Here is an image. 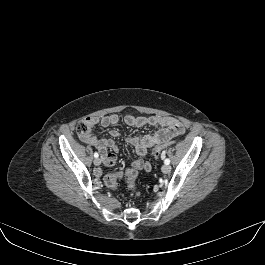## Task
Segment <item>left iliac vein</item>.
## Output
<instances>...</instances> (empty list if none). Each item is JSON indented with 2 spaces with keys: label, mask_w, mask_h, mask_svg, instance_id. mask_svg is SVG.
I'll return each instance as SVG.
<instances>
[{
  "label": "left iliac vein",
  "mask_w": 265,
  "mask_h": 265,
  "mask_svg": "<svg viewBox=\"0 0 265 265\" xmlns=\"http://www.w3.org/2000/svg\"><path fill=\"white\" fill-rule=\"evenodd\" d=\"M161 169H162V172L166 174V173H169L171 171V166L169 164H165L162 166Z\"/></svg>",
  "instance_id": "4c4485c4"
}]
</instances>
